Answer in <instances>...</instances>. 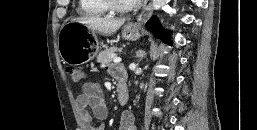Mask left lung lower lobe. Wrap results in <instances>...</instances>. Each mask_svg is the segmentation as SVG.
<instances>
[{
	"mask_svg": "<svg viewBox=\"0 0 257 130\" xmlns=\"http://www.w3.org/2000/svg\"><path fill=\"white\" fill-rule=\"evenodd\" d=\"M146 26L155 34L156 37L158 38L165 37L164 31L161 28L160 23L156 16H153L151 19H149V21L146 23ZM165 42L171 44V41L169 40V38H166Z\"/></svg>",
	"mask_w": 257,
	"mask_h": 130,
	"instance_id": "left-lung-lower-lobe-1",
	"label": "left lung lower lobe"
}]
</instances>
